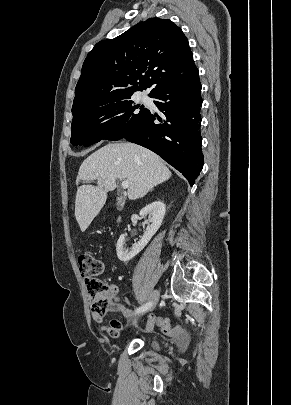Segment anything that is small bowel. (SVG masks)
<instances>
[{"label": "small bowel", "mask_w": 291, "mask_h": 405, "mask_svg": "<svg viewBox=\"0 0 291 405\" xmlns=\"http://www.w3.org/2000/svg\"><path fill=\"white\" fill-rule=\"evenodd\" d=\"M108 297L111 303V311L119 312L124 317L130 318L133 314V311L122 303L118 296V287L116 285H110L108 292ZM93 318L98 326V329L103 334L111 338H117L120 336L123 329V325L117 321L112 320L108 326L103 324L102 316L94 315ZM155 327V323L151 317L148 318L144 332H150Z\"/></svg>", "instance_id": "small-bowel-1"}]
</instances>
